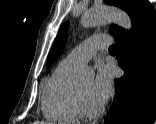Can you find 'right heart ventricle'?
I'll use <instances>...</instances> for the list:
<instances>
[{"instance_id": "e07e8e85", "label": "right heart ventricle", "mask_w": 156, "mask_h": 124, "mask_svg": "<svg viewBox=\"0 0 156 124\" xmlns=\"http://www.w3.org/2000/svg\"><path fill=\"white\" fill-rule=\"evenodd\" d=\"M77 66L62 61L43 87L41 109L44 117L59 124H73L81 119L77 108L72 74Z\"/></svg>"}]
</instances>
